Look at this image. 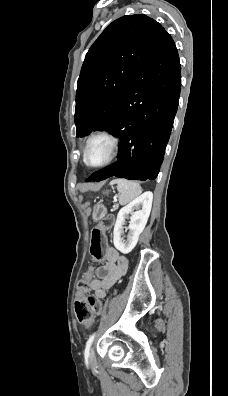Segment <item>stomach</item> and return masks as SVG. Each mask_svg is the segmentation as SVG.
<instances>
[{
	"label": "stomach",
	"mask_w": 228,
	"mask_h": 396,
	"mask_svg": "<svg viewBox=\"0 0 228 396\" xmlns=\"http://www.w3.org/2000/svg\"><path fill=\"white\" fill-rule=\"evenodd\" d=\"M105 193L107 194L108 192ZM106 213H107V208L102 204H97L94 207L93 218L96 221L100 220L103 216H105Z\"/></svg>",
	"instance_id": "obj_1"
}]
</instances>
